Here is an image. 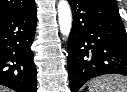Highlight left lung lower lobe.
<instances>
[{
	"label": "left lung lower lobe",
	"instance_id": "left-lung-lower-lobe-1",
	"mask_svg": "<svg viewBox=\"0 0 127 92\" xmlns=\"http://www.w3.org/2000/svg\"><path fill=\"white\" fill-rule=\"evenodd\" d=\"M73 25L68 41L71 92L104 74L127 76V34L118 8L90 0L69 1Z\"/></svg>",
	"mask_w": 127,
	"mask_h": 92
}]
</instances>
